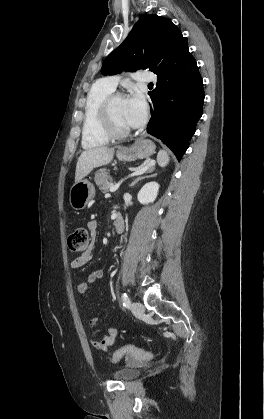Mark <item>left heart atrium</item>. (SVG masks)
Returning <instances> with one entry per match:
<instances>
[{
  "mask_svg": "<svg viewBox=\"0 0 264 419\" xmlns=\"http://www.w3.org/2000/svg\"><path fill=\"white\" fill-rule=\"evenodd\" d=\"M147 103L144 96L133 91L125 100V119L130 127H140L147 118Z\"/></svg>",
  "mask_w": 264,
  "mask_h": 419,
  "instance_id": "obj_1",
  "label": "left heart atrium"
}]
</instances>
